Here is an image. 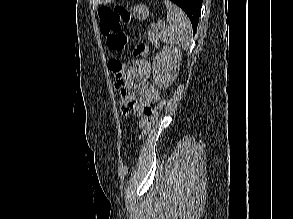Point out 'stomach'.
<instances>
[{"label": "stomach", "instance_id": "stomach-1", "mask_svg": "<svg viewBox=\"0 0 293 219\" xmlns=\"http://www.w3.org/2000/svg\"><path fill=\"white\" fill-rule=\"evenodd\" d=\"M130 13L139 20H145L149 15V10L145 5L140 4L131 8Z\"/></svg>", "mask_w": 293, "mask_h": 219}]
</instances>
